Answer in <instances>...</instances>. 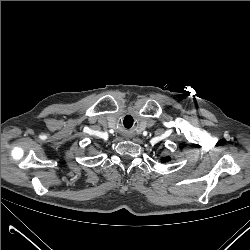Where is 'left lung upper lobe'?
I'll return each instance as SVG.
<instances>
[{
	"label": "left lung upper lobe",
	"instance_id": "5c2ea615",
	"mask_svg": "<svg viewBox=\"0 0 250 250\" xmlns=\"http://www.w3.org/2000/svg\"><path fill=\"white\" fill-rule=\"evenodd\" d=\"M164 160H165V161H167V160H168V158H165Z\"/></svg>",
	"mask_w": 250,
	"mask_h": 250
}]
</instances>
